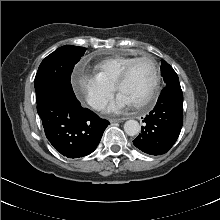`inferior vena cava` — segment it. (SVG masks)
I'll return each instance as SVG.
<instances>
[{"instance_id": "1", "label": "inferior vena cava", "mask_w": 220, "mask_h": 220, "mask_svg": "<svg viewBox=\"0 0 220 220\" xmlns=\"http://www.w3.org/2000/svg\"><path fill=\"white\" fill-rule=\"evenodd\" d=\"M90 105L94 108V109H102L104 108V106L106 105V102L102 99H92L90 101Z\"/></svg>"}]
</instances>
